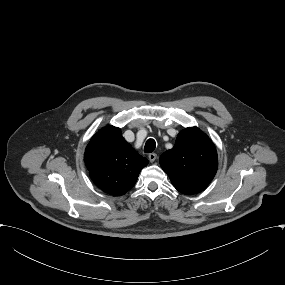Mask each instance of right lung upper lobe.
Returning <instances> with one entry per match:
<instances>
[{"mask_svg":"<svg viewBox=\"0 0 285 285\" xmlns=\"http://www.w3.org/2000/svg\"><path fill=\"white\" fill-rule=\"evenodd\" d=\"M84 161L93 182L104 192L123 195L137 181L148 160L125 141L121 130L108 126L90 140Z\"/></svg>","mask_w":285,"mask_h":285,"instance_id":"obj_1","label":"right lung upper lobe"}]
</instances>
